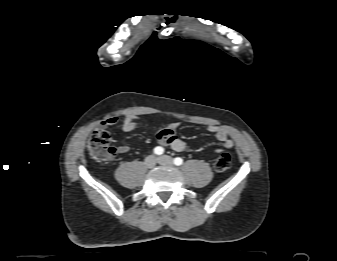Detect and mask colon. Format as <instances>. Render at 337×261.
Listing matches in <instances>:
<instances>
[{
    "label": "colon",
    "instance_id": "1",
    "mask_svg": "<svg viewBox=\"0 0 337 261\" xmlns=\"http://www.w3.org/2000/svg\"><path fill=\"white\" fill-rule=\"evenodd\" d=\"M111 137L103 130L94 131L88 141V151L91 159L96 163H106L115 154V149L111 146ZM231 166V156L229 153H222L214 163V168L218 172H224Z\"/></svg>",
    "mask_w": 337,
    "mask_h": 261
}]
</instances>
